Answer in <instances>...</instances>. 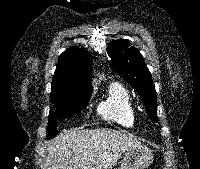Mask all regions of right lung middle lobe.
I'll return each instance as SVG.
<instances>
[{
    "label": "right lung middle lobe",
    "instance_id": "1",
    "mask_svg": "<svg viewBox=\"0 0 200 169\" xmlns=\"http://www.w3.org/2000/svg\"><path fill=\"white\" fill-rule=\"evenodd\" d=\"M91 92H85L68 98L51 100L56 107V112L50 111L47 138L56 135L57 119L70 117L83 109L90 100Z\"/></svg>",
    "mask_w": 200,
    "mask_h": 169
}]
</instances>
